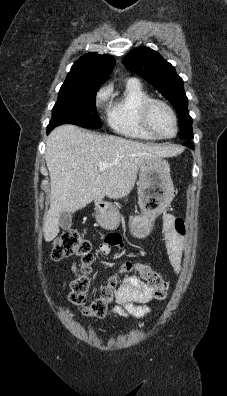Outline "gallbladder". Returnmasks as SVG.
Instances as JSON below:
<instances>
[{"instance_id": "bac80fb5", "label": "gallbladder", "mask_w": 227, "mask_h": 396, "mask_svg": "<svg viewBox=\"0 0 227 396\" xmlns=\"http://www.w3.org/2000/svg\"><path fill=\"white\" fill-rule=\"evenodd\" d=\"M72 216L70 212H61L59 215V225L62 229L68 230L71 227Z\"/></svg>"}]
</instances>
